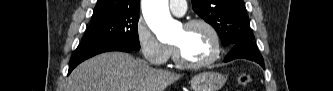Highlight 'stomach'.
Returning a JSON list of instances; mask_svg holds the SVG:
<instances>
[{
	"label": "stomach",
	"instance_id": "obj_1",
	"mask_svg": "<svg viewBox=\"0 0 333 91\" xmlns=\"http://www.w3.org/2000/svg\"><path fill=\"white\" fill-rule=\"evenodd\" d=\"M226 82L223 74L218 72H203L194 76L191 80L193 91H219Z\"/></svg>",
	"mask_w": 333,
	"mask_h": 91
}]
</instances>
